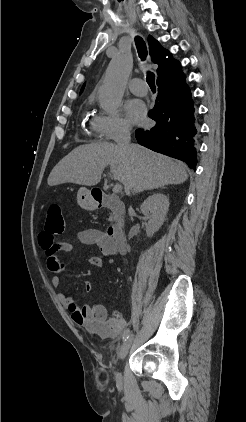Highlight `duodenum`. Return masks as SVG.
I'll return each instance as SVG.
<instances>
[{
    "label": "duodenum",
    "instance_id": "1",
    "mask_svg": "<svg viewBox=\"0 0 246 422\" xmlns=\"http://www.w3.org/2000/svg\"><path fill=\"white\" fill-rule=\"evenodd\" d=\"M94 202L97 208H107L113 214V223L107 230V234L120 253L126 251V233L121 223V215L124 212L123 203L108 195H95Z\"/></svg>",
    "mask_w": 246,
    "mask_h": 422
}]
</instances>
